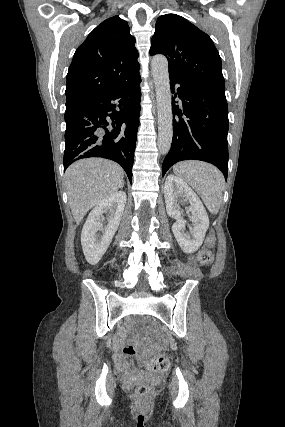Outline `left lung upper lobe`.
<instances>
[{
    "mask_svg": "<svg viewBox=\"0 0 285 427\" xmlns=\"http://www.w3.org/2000/svg\"><path fill=\"white\" fill-rule=\"evenodd\" d=\"M150 54H163L170 78L225 92L222 64L211 38L176 14L158 18Z\"/></svg>",
    "mask_w": 285,
    "mask_h": 427,
    "instance_id": "5c2ea615",
    "label": "left lung upper lobe"
}]
</instances>
